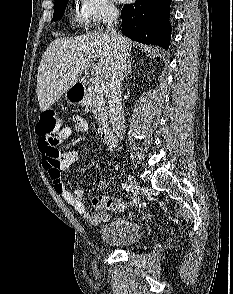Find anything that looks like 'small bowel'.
Segmentation results:
<instances>
[{
    "label": "small bowel",
    "instance_id": "c3829d8e",
    "mask_svg": "<svg viewBox=\"0 0 233 294\" xmlns=\"http://www.w3.org/2000/svg\"><path fill=\"white\" fill-rule=\"evenodd\" d=\"M74 127H64L62 131V139H68L74 131L86 132L88 129L87 121L78 115L73 116ZM78 161V152L75 149H60L58 156H48L42 153V167L47 172V175L52 183L56 193H58L64 201L69 204L77 213L84 216V218L92 225H97L109 219V213L103 209L106 207L105 203L109 199L105 196H96L92 199V205L95 209L99 210L96 214L89 213L83 203L84 191L76 189L74 191L68 190L62 182L61 172L72 164ZM107 188V182L100 180L96 189L103 191ZM120 201L125 207V203Z\"/></svg>",
    "mask_w": 233,
    "mask_h": 294
}]
</instances>
